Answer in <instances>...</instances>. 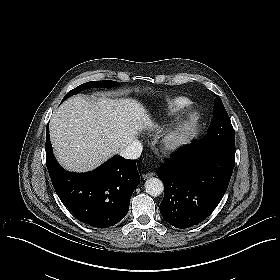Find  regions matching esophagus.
<instances>
[{
  "instance_id": "1",
  "label": "esophagus",
  "mask_w": 280,
  "mask_h": 280,
  "mask_svg": "<svg viewBox=\"0 0 280 280\" xmlns=\"http://www.w3.org/2000/svg\"><path fill=\"white\" fill-rule=\"evenodd\" d=\"M154 175H155L154 172H150V173H147V174H143V175H142V178H143V179H147V178L153 177Z\"/></svg>"
}]
</instances>
